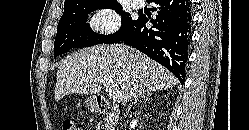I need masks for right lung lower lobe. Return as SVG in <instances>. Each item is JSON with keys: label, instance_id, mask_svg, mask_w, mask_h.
I'll return each instance as SVG.
<instances>
[{"label": "right lung lower lobe", "instance_id": "1", "mask_svg": "<svg viewBox=\"0 0 249 130\" xmlns=\"http://www.w3.org/2000/svg\"><path fill=\"white\" fill-rule=\"evenodd\" d=\"M158 11L155 19L140 15L136 23L120 39L171 71L181 83L191 39L192 12L189 0H153ZM153 24L148 29L147 22Z\"/></svg>", "mask_w": 249, "mask_h": 130}]
</instances>
